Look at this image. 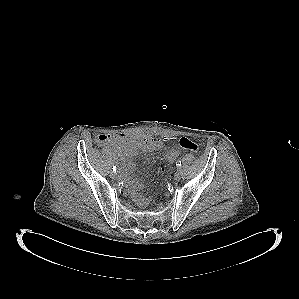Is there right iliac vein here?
<instances>
[{
  "label": "right iliac vein",
  "instance_id": "right-iliac-vein-1",
  "mask_svg": "<svg viewBox=\"0 0 299 299\" xmlns=\"http://www.w3.org/2000/svg\"><path fill=\"white\" fill-rule=\"evenodd\" d=\"M111 178L113 179H117L118 178V174L116 172H111L110 173Z\"/></svg>",
  "mask_w": 299,
  "mask_h": 299
}]
</instances>
